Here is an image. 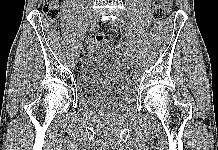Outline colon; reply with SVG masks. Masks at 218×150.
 <instances>
[{
    "label": "colon",
    "instance_id": "obj_1",
    "mask_svg": "<svg viewBox=\"0 0 218 150\" xmlns=\"http://www.w3.org/2000/svg\"><path fill=\"white\" fill-rule=\"evenodd\" d=\"M43 11L47 19L52 25H55L60 17L61 0H45L43 4ZM168 12V8L163 0H154L152 4V14L156 20H162ZM112 37L107 33H98L96 42L103 47H110L112 44Z\"/></svg>",
    "mask_w": 218,
    "mask_h": 150
}]
</instances>
